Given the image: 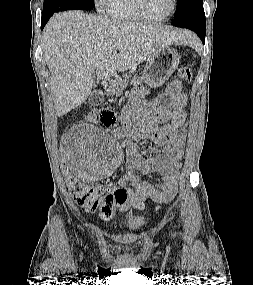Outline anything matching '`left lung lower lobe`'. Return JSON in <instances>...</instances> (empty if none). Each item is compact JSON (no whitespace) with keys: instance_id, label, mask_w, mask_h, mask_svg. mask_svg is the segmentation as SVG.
Instances as JSON below:
<instances>
[{"instance_id":"obj_1","label":"left lung lower lobe","mask_w":253,"mask_h":285,"mask_svg":"<svg viewBox=\"0 0 253 285\" xmlns=\"http://www.w3.org/2000/svg\"><path fill=\"white\" fill-rule=\"evenodd\" d=\"M172 25L193 30L205 42L206 20L203 6H198L175 20Z\"/></svg>"}]
</instances>
